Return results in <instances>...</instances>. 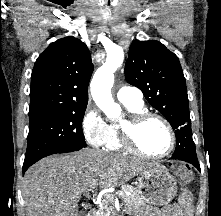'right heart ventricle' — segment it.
Instances as JSON below:
<instances>
[{
	"mask_svg": "<svg viewBox=\"0 0 221 216\" xmlns=\"http://www.w3.org/2000/svg\"><path fill=\"white\" fill-rule=\"evenodd\" d=\"M123 104L129 114H134L146 110L143 102ZM104 146L106 149L111 151H121L124 149L119 135V122H110L108 124V134Z\"/></svg>",
	"mask_w": 221,
	"mask_h": 216,
	"instance_id": "1",
	"label": "right heart ventricle"
}]
</instances>
